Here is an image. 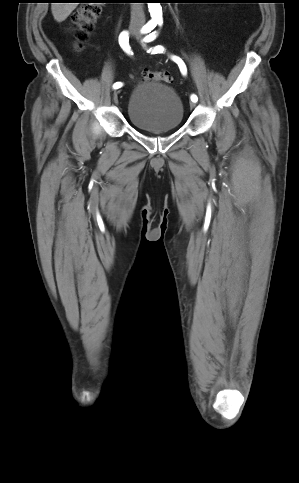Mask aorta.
Returning a JSON list of instances; mask_svg holds the SVG:
<instances>
[{"label": "aorta", "mask_w": 299, "mask_h": 483, "mask_svg": "<svg viewBox=\"0 0 299 483\" xmlns=\"http://www.w3.org/2000/svg\"><path fill=\"white\" fill-rule=\"evenodd\" d=\"M148 9L153 21L162 20V7L160 3H148Z\"/></svg>", "instance_id": "obj_1"}]
</instances>
